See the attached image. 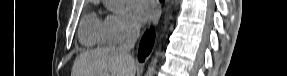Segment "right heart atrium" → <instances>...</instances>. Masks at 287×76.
Segmentation results:
<instances>
[{"mask_svg": "<svg viewBox=\"0 0 287 76\" xmlns=\"http://www.w3.org/2000/svg\"><path fill=\"white\" fill-rule=\"evenodd\" d=\"M104 25L111 43L123 42L139 31V23L129 14L112 13L106 16Z\"/></svg>", "mask_w": 287, "mask_h": 76, "instance_id": "obj_1", "label": "right heart atrium"}]
</instances>
